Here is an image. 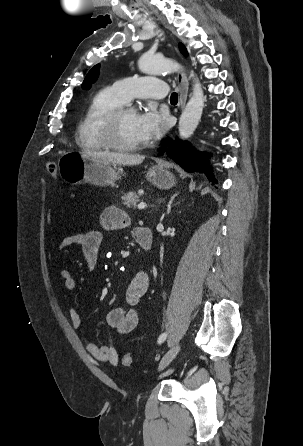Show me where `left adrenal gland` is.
I'll return each instance as SVG.
<instances>
[{"instance_id": "left-adrenal-gland-1", "label": "left adrenal gland", "mask_w": 303, "mask_h": 446, "mask_svg": "<svg viewBox=\"0 0 303 446\" xmlns=\"http://www.w3.org/2000/svg\"><path fill=\"white\" fill-rule=\"evenodd\" d=\"M179 195V193H176V194H174L173 196H171V198H170V200H169V202H168V204H167V210H166V214H170V212H171V207H172V204H173V201L175 200V198L177 197ZM161 202V201H160ZM159 202V203H160Z\"/></svg>"}]
</instances>
